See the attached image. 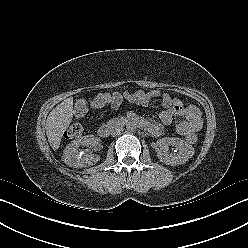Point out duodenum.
Masks as SVG:
<instances>
[{
  "instance_id": "obj_1",
  "label": "duodenum",
  "mask_w": 248,
  "mask_h": 248,
  "mask_svg": "<svg viewBox=\"0 0 248 248\" xmlns=\"http://www.w3.org/2000/svg\"><path fill=\"white\" fill-rule=\"evenodd\" d=\"M117 123H126V124H132V125H135L139 128H148V122L145 121V120H142V119H139L137 117H133V116H130V117H126L125 119L123 120H120L118 121ZM115 123H113L114 125ZM113 125H104V126H101L100 129H99V135L103 138H107L110 136L111 134V131L113 129Z\"/></svg>"
}]
</instances>
